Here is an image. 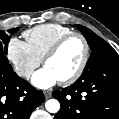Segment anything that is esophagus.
I'll list each match as a JSON object with an SVG mask.
<instances>
[{"instance_id":"obj_1","label":"esophagus","mask_w":119,"mask_h":119,"mask_svg":"<svg viewBox=\"0 0 119 119\" xmlns=\"http://www.w3.org/2000/svg\"><path fill=\"white\" fill-rule=\"evenodd\" d=\"M44 95H45L46 99L50 98L51 97V91H49V90L44 91Z\"/></svg>"}]
</instances>
